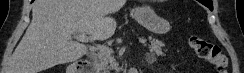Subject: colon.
<instances>
[{
  "mask_svg": "<svg viewBox=\"0 0 244 73\" xmlns=\"http://www.w3.org/2000/svg\"><path fill=\"white\" fill-rule=\"evenodd\" d=\"M187 43L197 56L209 62L217 73L227 72L228 60L218 45L196 35H190Z\"/></svg>",
  "mask_w": 244,
  "mask_h": 73,
  "instance_id": "5ec220e1",
  "label": "colon"
}]
</instances>
